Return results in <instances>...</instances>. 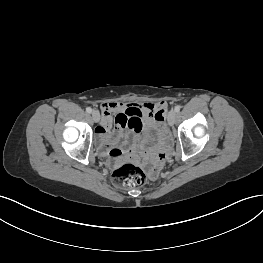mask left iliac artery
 <instances>
[{"label":"left iliac artery","instance_id":"1","mask_svg":"<svg viewBox=\"0 0 263 263\" xmlns=\"http://www.w3.org/2000/svg\"><path fill=\"white\" fill-rule=\"evenodd\" d=\"M175 111H176V112H179V111H180V106H176V107H175Z\"/></svg>","mask_w":263,"mask_h":263}]
</instances>
